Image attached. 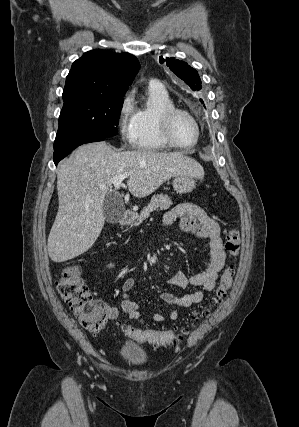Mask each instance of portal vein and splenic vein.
Segmentation results:
<instances>
[{
  "label": "portal vein and splenic vein",
  "instance_id": "1",
  "mask_svg": "<svg viewBox=\"0 0 299 427\" xmlns=\"http://www.w3.org/2000/svg\"><path fill=\"white\" fill-rule=\"evenodd\" d=\"M128 177H129V174H120L119 176L115 177L112 180V183H113L115 189H119L123 185L122 184L123 180L128 178ZM101 187L103 188L104 185H101Z\"/></svg>",
  "mask_w": 299,
  "mask_h": 427
}]
</instances>
